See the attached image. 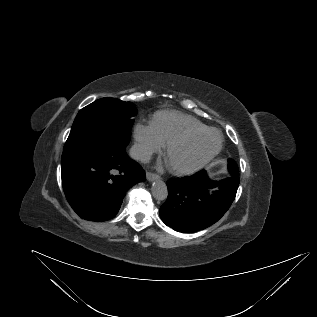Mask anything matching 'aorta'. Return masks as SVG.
<instances>
[{
    "mask_svg": "<svg viewBox=\"0 0 317 317\" xmlns=\"http://www.w3.org/2000/svg\"><path fill=\"white\" fill-rule=\"evenodd\" d=\"M151 190H152V195L156 200H159V201L166 200L168 196V189L166 184L162 180L160 179L155 180Z\"/></svg>",
    "mask_w": 317,
    "mask_h": 317,
    "instance_id": "aorta-1",
    "label": "aorta"
}]
</instances>
